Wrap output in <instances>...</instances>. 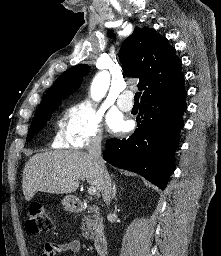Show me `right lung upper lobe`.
Listing matches in <instances>:
<instances>
[{
  "mask_svg": "<svg viewBox=\"0 0 221 256\" xmlns=\"http://www.w3.org/2000/svg\"><path fill=\"white\" fill-rule=\"evenodd\" d=\"M123 72L139 78L138 88L144 90L141 101L156 95L184 90L181 60L168 40L151 28H135L123 42L120 52ZM86 64L76 65L54 82L43 102L63 98L76 91L83 77L89 72Z\"/></svg>",
  "mask_w": 221,
  "mask_h": 256,
  "instance_id": "obj_1",
  "label": "right lung upper lobe"
}]
</instances>
